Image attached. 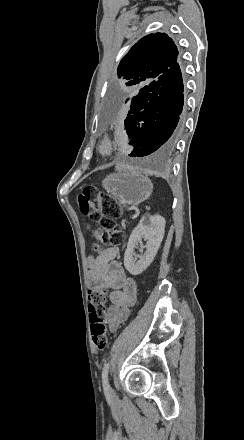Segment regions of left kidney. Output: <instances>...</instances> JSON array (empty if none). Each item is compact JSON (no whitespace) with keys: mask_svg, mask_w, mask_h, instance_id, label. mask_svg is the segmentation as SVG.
<instances>
[{"mask_svg":"<svg viewBox=\"0 0 244 440\" xmlns=\"http://www.w3.org/2000/svg\"><path fill=\"white\" fill-rule=\"evenodd\" d=\"M165 224L164 218L156 214V216L142 218L138 226L134 228L124 254V266L132 276H139L153 262L164 238ZM142 238L147 240L146 252H144L143 256H136L134 258V248L139 246Z\"/></svg>","mask_w":244,"mask_h":440,"instance_id":"5707ae66","label":"left kidney"}]
</instances>
